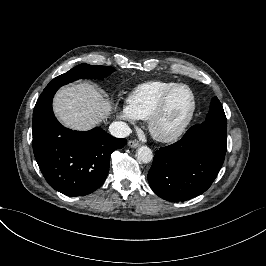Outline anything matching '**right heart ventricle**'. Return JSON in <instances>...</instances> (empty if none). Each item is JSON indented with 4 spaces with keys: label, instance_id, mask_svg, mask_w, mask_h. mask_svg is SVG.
Returning <instances> with one entry per match:
<instances>
[{
    "label": "right heart ventricle",
    "instance_id": "right-heart-ventricle-1",
    "mask_svg": "<svg viewBox=\"0 0 266 266\" xmlns=\"http://www.w3.org/2000/svg\"><path fill=\"white\" fill-rule=\"evenodd\" d=\"M180 82L152 80L138 85L129 96V107L137 119L147 120L163 94Z\"/></svg>",
    "mask_w": 266,
    "mask_h": 266
}]
</instances>
